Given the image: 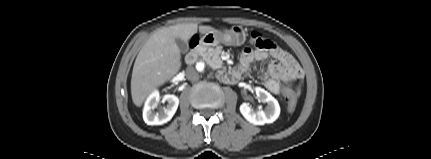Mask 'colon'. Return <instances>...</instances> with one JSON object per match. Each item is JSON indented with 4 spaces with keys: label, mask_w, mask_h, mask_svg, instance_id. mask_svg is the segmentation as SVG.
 <instances>
[{
    "label": "colon",
    "mask_w": 431,
    "mask_h": 159,
    "mask_svg": "<svg viewBox=\"0 0 431 159\" xmlns=\"http://www.w3.org/2000/svg\"><path fill=\"white\" fill-rule=\"evenodd\" d=\"M260 38H262V36H261V34L260 33H258V32H253L252 33V36H250L249 37V40L247 41V46H249V47H253L255 44H256V41H257V39H260ZM296 94L294 93V94H292V96L291 97H289L288 95H285L284 96V100H285V102H288V110L290 111V112H293L294 110H295V108H296V104L293 102V97L295 96Z\"/></svg>",
    "instance_id": "5ec220e1"
}]
</instances>
